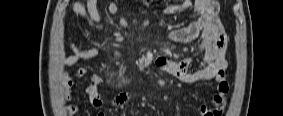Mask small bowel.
Instances as JSON below:
<instances>
[{
	"label": "small bowel",
	"instance_id": "1",
	"mask_svg": "<svg viewBox=\"0 0 283 116\" xmlns=\"http://www.w3.org/2000/svg\"><path fill=\"white\" fill-rule=\"evenodd\" d=\"M183 3V2H180ZM73 11L81 19L85 20L89 26L98 34L102 31L100 24L99 4L97 0H89L86 5L79 2L73 3ZM181 9V6L175 5L168 7L165 10L166 14L176 13ZM119 11V7L115 2H110L107 6L109 15H115ZM193 15L196 20L189 26L173 30L169 36L173 41L189 42L200 39L199 44L192 57L186 58L180 62H174L165 57L156 59V65L166 74L174 79L184 83H195L199 81L215 80L217 82V92L212 99V107L201 105L199 108L200 116H216L215 113L219 111L220 107L226 104L227 94L229 91V84L226 79L225 70L227 68V61L225 52L227 49V36L222 23L218 17V4L213 0H195L193 1ZM69 45L72 54L65 56L62 59L64 66L71 67L81 61H86L97 57L100 53L97 47L82 50L79 49L71 38ZM200 58L199 67L197 70L190 72L189 68L194 59ZM151 62V57L146 56L141 65H148ZM87 72L86 66L79 67L75 76H82ZM69 88L74 87L73 79L67 81ZM83 92L90 101V103L100 108L104 105L97 87L93 83L84 86ZM149 93H125L118 96L112 103L115 108H123L137 97H148ZM78 105H70L67 107V115L72 116L78 112ZM103 116L104 113H99Z\"/></svg>",
	"mask_w": 283,
	"mask_h": 116
}]
</instances>
